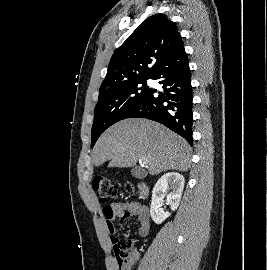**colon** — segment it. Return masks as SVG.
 <instances>
[{"label": "colon", "instance_id": "1", "mask_svg": "<svg viewBox=\"0 0 267 270\" xmlns=\"http://www.w3.org/2000/svg\"><path fill=\"white\" fill-rule=\"evenodd\" d=\"M93 188L97 193L98 199L103 203L116 198L119 194V187L104 176H98L93 180ZM126 189L132 191L133 187L132 185H127ZM113 244L120 270H131L136 261V253L133 250L132 242L127 239L114 237Z\"/></svg>", "mask_w": 267, "mask_h": 270}]
</instances>
